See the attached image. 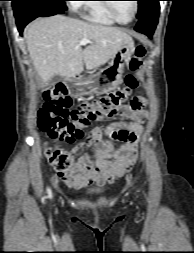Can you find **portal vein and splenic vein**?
<instances>
[{
  "instance_id": "obj_1",
  "label": "portal vein and splenic vein",
  "mask_w": 194,
  "mask_h": 253,
  "mask_svg": "<svg viewBox=\"0 0 194 253\" xmlns=\"http://www.w3.org/2000/svg\"><path fill=\"white\" fill-rule=\"evenodd\" d=\"M80 43H81L82 45H86V44H88V43H91V41H90L89 39L83 38V39H81Z\"/></svg>"
}]
</instances>
